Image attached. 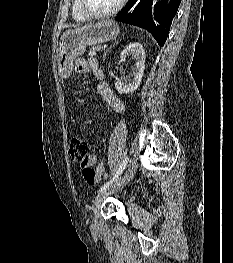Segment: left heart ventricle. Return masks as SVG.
<instances>
[{"mask_svg":"<svg viewBox=\"0 0 233 263\" xmlns=\"http://www.w3.org/2000/svg\"><path fill=\"white\" fill-rule=\"evenodd\" d=\"M86 7L93 12H105L119 2V0H84Z\"/></svg>","mask_w":233,"mask_h":263,"instance_id":"obj_1","label":"left heart ventricle"}]
</instances>
